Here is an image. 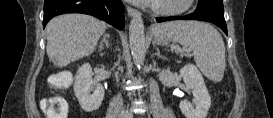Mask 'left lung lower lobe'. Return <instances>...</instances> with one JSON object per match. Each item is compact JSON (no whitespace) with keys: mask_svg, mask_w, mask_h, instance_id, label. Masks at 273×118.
Here are the masks:
<instances>
[{"mask_svg":"<svg viewBox=\"0 0 273 118\" xmlns=\"http://www.w3.org/2000/svg\"><path fill=\"white\" fill-rule=\"evenodd\" d=\"M182 19L183 20H201V21L211 22L219 26L227 35V27H226V22L224 17L216 15V14L195 11L194 13L186 15V16L156 18V21L160 23V22H166L171 20H182Z\"/></svg>","mask_w":273,"mask_h":118,"instance_id":"0a47b994","label":"left lung lower lobe"}]
</instances>
